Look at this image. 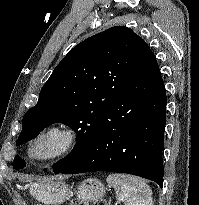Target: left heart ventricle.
Instances as JSON below:
<instances>
[{"label":"left heart ventricle","mask_w":199,"mask_h":205,"mask_svg":"<svg viewBox=\"0 0 199 205\" xmlns=\"http://www.w3.org/2000/svg\"><path fill=\"white\" fill-rule=\"evenodd\" d=\"M50 146H51L50 143H46V144L44 145V147H43V150H44V149L47 150ZM41 152H42V151H41Z\"/></svg>","instance_id":"1"}]
</instances>
